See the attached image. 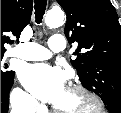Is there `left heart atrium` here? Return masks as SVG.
<instances>
[{
  "label": "left heart atrium",
  "mask_w": 121,
  "mask_h": 113,
  "mask_svg": "<svg viewBox=\"0 0 121 113\" xmlns=\"http://www.w3.org/2000/svg\"><path fill=\"white\" fill-rule=\"evenodd\" d=\"M21 82L37 98L56 104L64 90V76L58 69L45 64H35L21 72Z\"/></svg>",
  "instance_id": "39dd6f15"
}]
</instances>
